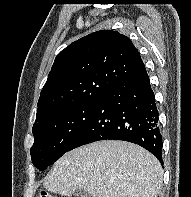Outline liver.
I'll return each mask as SVG.
<instances>
[{"label": "liver", "instance_id": "obj_1", "mask_svg": "<svg viewBox=\"0 0 191 197\" xmlns=\"http://www.w3.org/2000/svg\"><path fill=\"white\" fill-rule=\"evenodd\" d=\"M163 170L139 145L103 140L65 153L44 178L46 190L68 196L81 189L92 197H157Z\"/></svg>", "mask_w": 191, "mask_h": 197}]
</instances>
